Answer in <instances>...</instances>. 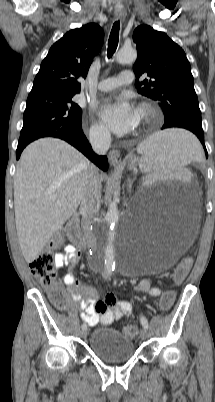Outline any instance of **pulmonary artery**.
<instances>
[{"instance_id": "obj_1", "label": "pulmonary artery", "mask_w": 215, "mask_h": 402, "mask_svg": "<svg viewBox=\"0 0 215 402\" xmlns=\"http://www.w3.org/2000/svg\"><path fill=\"white\" fill-rule=\"evenodd\" d=\"M133 73L131 71H123L116 77H110L98 83L97 87L101 91H109L123 84H129L133 81Z\"/></svg>"}]
</instances>
